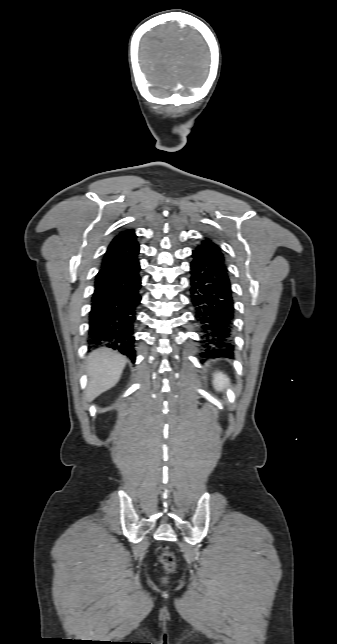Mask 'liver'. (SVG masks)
<instances>
[{
	"instance_id": "liver-1",
	"label": "liver",
	"mask_w": 337,
	"mask_h": 644,
	"mask_svg": "<svg viewBox=\"0 0 337 644\" xmlns=\"http://www.w3.org/2000/svg\"><path fill=\"white\" fill-rule=\"evenodd\" d=\"M126 362L125 356L108 348L92 351L87 357L86 372L89 379L85 391L86 400L91 402L114 387L120 380Z\"/></svg>"
}]
</instances>
